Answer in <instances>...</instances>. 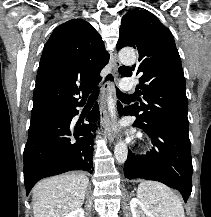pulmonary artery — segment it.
I'll return each instance as SVG.
<instances>
[{"label":"pulmonary artery","instance_id":"obj_1","mask_svg":"<svg viewBox=\"0 0 211 217\" xmlns=\"http://www.w3.org/2000/svg\"><path fill=\"white\" fill-rule=\"evenodd\" d=\"M120 88L123 92H132L134 89V84L130 79H122L120 82Z\"/></svg>","mask_w":211,"mask_h":217}]
</instances>
